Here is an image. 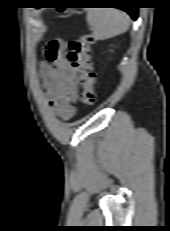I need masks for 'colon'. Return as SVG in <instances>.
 Returning a JSON list of instances; mask_svg holds the SVG:
<instances>
[{"label":"colon","instance_id":"colon-1","mask_svg":"<svg viewBox=\"0 0 170 231\" xmlns=\"http://www.w3.org/2000/svg\"><path fill=\"white\" fill-rule=\"evenodd\" d=\"M94 38L91 35H81L78 39L69 43L67 58L71 68L78 77V83L82 88L81 101L92 105L96 100L95 74L92 63V45Z\"/></svg>","mask_w":170,"mask_h":231}]
</instances>
